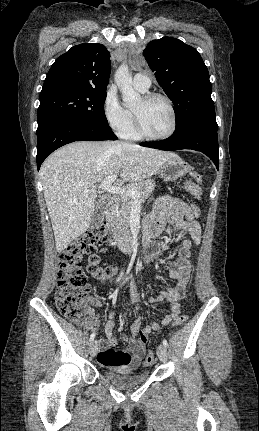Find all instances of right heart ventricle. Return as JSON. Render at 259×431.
Wrapping results in <instances>:
<instances>
[{
	"label": "right heart ventricle",
	"mask_w": 259,
	"mask_h": 431,
	"mask_svg": "<svg viewBox=\"0 0 259 431\" xmlns=\"http://www.w3.org/2000/svg\"><path fill=\"white\" fill-rule=\"evenodd\" d=\"M130 112V111H129ZM131 119L128 125L122 130L121 136L127 140H139L141 137L137 134L134 127L133 114L130 112Z\"/></svg>",
	"instance_id": "obj_1"
}]
</instances>
